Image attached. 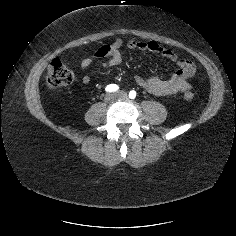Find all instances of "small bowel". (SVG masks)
<instances>
[{
	"mask_svg": "<svg viewBox=\"0 0 236 236\" xmlns=\"http://www.w3.org/2000/svg\"><path fill=\"white\" fill-rule=\"evenodd\" d=\"M123 42L121 39H116L112 44H105L99 46L92 57H86L81 60L80 68L82 71H86L96 61L100 60L101 65L104 68L119 66L123 62L121 48ZM127 47L130 49H136L140 51H149L155 54H160L164 58L172 61L176 64L177 69L168 79H160L158 77H143L135 76L134 80L136 84L151 94L158 96L173 95L176 93H183L191 89V85L188 79L194 74L195 67L193 63L174 52L171 49L160 46L159 44L149 41H135L130 40L127 43ZM82 84L89 85L92 82V78L88 74L82 76Z\"/></svg>",
	"mask_w": 236,
	"mask_h": 236,
	"instance_id": "obj_1",
	"label": "small bowel"
}]
</instances>
